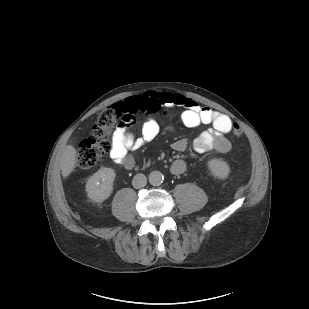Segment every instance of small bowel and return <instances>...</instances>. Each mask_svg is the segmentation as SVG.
Wrapping results in <instances>:
<instances>
[{
	"label": "small bowel",
	"mask_w": 309,
	"mask_h": 309,
	"mask_svg": "<svg viewBox=\"0 0 309 309\" xmlns=\"http://www.w3.org/2000/svg\"><path fill=\"white\" fill-rule=\"evenodd\" d=\"M129 112L145 111L157 113L164 107H183L181 119L185 126L196 127L200 123L211 124V128L199 135L193 142V149L198 153L217 151L227 153L231 144L226 135L232 129V121L226 115L204 107L195 101L176 93L148 92L128 98L123 102ZM167 130H172L168 125ZM160 125L157 120L148 118L142 125L140 133L134 135L127 128L116 129L112 135L110 157L120 166L126 169L133 168L134 158L128 153L137 150L153 141L160 133ZM173 148L178 152H184L187 148L186 139H178L173 143ZM186 168V162L178 159L170 167L172 175H180Z\"/></svg>",
	"instance_id": "c3829d8e"
}]
</instances>
